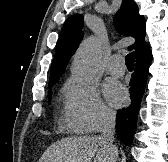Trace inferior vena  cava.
<instances>
[{
  "mask_svg": "<svg viewBox=\"0 0 168 162\" xmlns=\"http://www.w3.org/2000/svg\"><path fill=\"white\" fill-rule=\"evenodd\" d=\"M115 124H116V113L111 110H105L102 115V121H101L102 134L100 136V139L116 156L118 155V149L113 144Z\"/></svg>",
  "mask_w": 168,
  "mask_h": 162,
  "instance_id": "obj_1",
  "label": "inferior vena cava"
}]
</instances>
